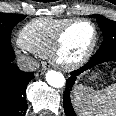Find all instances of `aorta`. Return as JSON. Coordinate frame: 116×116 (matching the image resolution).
<instances>
[{"label":"aorta","mask_w":116,"mask_h":116,"mask_svg":"<svg viewBox=\"0 0 116 116\" xmlns=\"http://www.w3.org/2000/svg\"><path fill=\"white\" fill-rule=\"evenodd\" d=\"M47 83L55 88H61L65 85V78L62 73L50 70L46 73Z\"/></svg>","instance_id":"obj_1"}]
</instances>
